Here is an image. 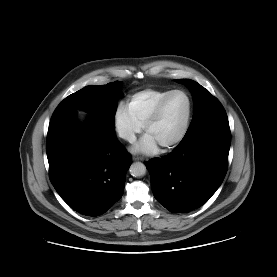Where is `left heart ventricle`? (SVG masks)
Masks as SVG:
<instances>
[{"instance_id": "left-heart-ventricle-1", "label": "left heart ventricle", "mask_w": 277, "mask_h": 277, "mask_svg": "<svg viewBox=\"0 0 277 277\" xmlns=\"http://www.w3.org/2000/svg\"><path fill=\"white\" fill-rule=\"evenodd\" d=\"M188 113V100L184 94L173 95L166 103L160 118L148 129L158 143L163 145L173 140L182 130Z\"/></svg>"}]
</instances>
